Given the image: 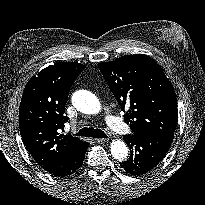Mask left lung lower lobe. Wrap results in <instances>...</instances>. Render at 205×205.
<instances>
[{"label": "left lung lower lobe", "instance_id": "1", "mask_svg": "<svg viewBox=\"0 0 205 205\" xmlns=\"http://www.w3.org/2000/svg\"><path fill=\"white\" fill-rule=\"evenodd\" d=\"M173 136L174 133L124 136L131 155L127 161L120 163L121 167L134 176L146 174L163 159L171 145Z\"/></svg>", "mask_w": 205, "mask_h": 205}]
</instances>
